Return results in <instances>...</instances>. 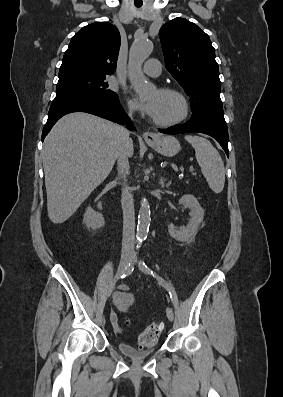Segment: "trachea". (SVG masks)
Listing matches in <instances>:
<instances>
[{"instance_id": "trachea-1", "label": "trachea", "mask_w": 283, "mask_h": 397, "mask_svg": "<svg viewBox=\"0 0 283 397\" xmlns=\"http://www.w3.org/2000/svg\"><path fill=\"white\" fill-rule=\"evenodd\" d=\"M136 7H137V8H140V7H141V5H136Z\"/></svg>"}]
</instances>
